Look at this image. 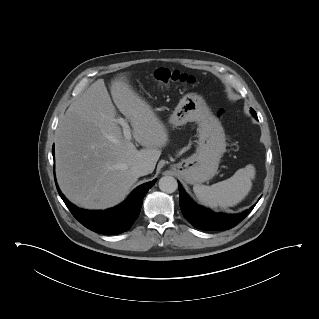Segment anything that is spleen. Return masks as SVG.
Wrapping results in <instances>:
<instances>
[{"label": "spleen", "mask_w": 319, "mask_h": 319, "mask_svg": "<svg viewBox=\"0 0 319 319\" xmlns=\"http://www.w3.org/2000/svg\"><path fill=\"white\" fill-rule=\"evenodd\" d=\"M255 178V168L247 165L235 172L224 181L211 186L196 184L193 191L196 197L204 205L209 207H231L241 202L252 188V180Z\"/></svg>", "instance_id": "3e777b00"}]
</instances>
